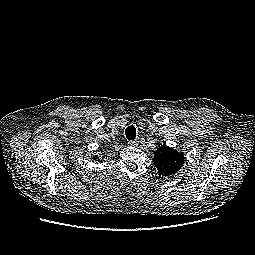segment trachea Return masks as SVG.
<instances>
[{"instance_id": "obj_1", "label": "trachea", "mask_w": 255, "mask_h": 255, "mask_svg": "<svg viewBox=\"0 0 255 255\" xmlns=\"http://www.w3.org/2000/svg\"><path fill=\"white\" fill-rule=\"evenodd\" d=\"M125 135L128 140H134L136 138V128L134 126H128L125 130Z\"/></svg>"}]
</instances>
